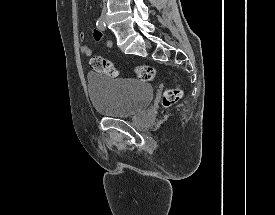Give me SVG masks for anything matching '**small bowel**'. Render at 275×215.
Masks as SVG:
<instances>
[{
	"instance_id": "1",
	"label": "small bowel",
	"mask_w": 275,
	"mask_h": 215,
	"mask_svg": "<svg viewBox=\"0 0 275 215\" xmlns=\"http://www.w3.org/2000/svg\"><path fill=\"white\" fill-rule=\"evenodd\" d=\"M93 37H94V39L97 40V41H99V40L102 39V32H101V30H100L99 28L93 30ZM84 38H85V33H84V32H81V33L79 34V39H80V40H83ZM112 45H113V43H112V41H110V40H108V41L105 42V46H106L107 48L112 47ZM80 52H81L83 55L87 56V57H91V56H92V51H91V49H90L88 46H86V45H83V46L80 47Z\"/></svg>"
}]
</instances>
